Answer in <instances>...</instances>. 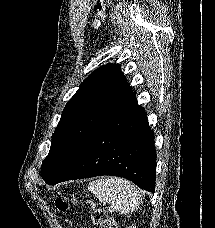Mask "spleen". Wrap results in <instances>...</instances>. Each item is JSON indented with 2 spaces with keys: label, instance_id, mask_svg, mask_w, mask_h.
Instances as JSON below:
<instances>
[{
  "label": "spleen",
  "instance_id": "spleen-1",
  "mask_svg": "<svg viewBox=\"0 0 215 228\" xmlns=\"http://www.w3.org/2000/svg\"><path fill=\"white\" fill-rule=\"evenodd\" d=\"M101 204H112L120 214L138 210L142 200L138 188L123 178H98L88 186Z\"/></svg>",
  "mask_w": 215,
  "mask_h": 228
}]
</instances>
